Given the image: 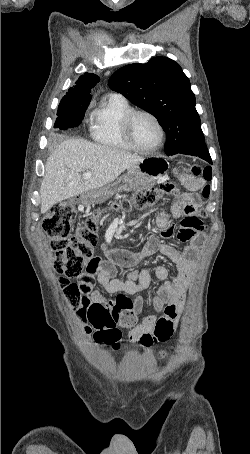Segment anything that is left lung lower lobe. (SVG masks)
<instances>
[{"instance_id": "1", "label": "left lung lower lobe", "mask_w": 250, "mask_h": 454, "mask_svg": "<svg viewBox=\"0 0 250 454\" xmlns=\"http://www.w3.org/2000/svg\"><path fill=\"white\" fill-rule=\"evenodd\" d=\"M186 154V155H193V156H198L204 160H206L207 162H209L210 164H212V160H211V157H210V154L207 150V147H206V144L204 142H201V143H197L195 145H193L192 147L190 148H187L185 150H181L175 154Z\"/></svg>"}]
</instances>
